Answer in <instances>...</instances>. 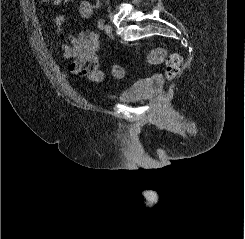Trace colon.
<instances>
[{"label": "colon", "instance_id": "1", "mask_svg": "<svg viewBox=\"0 0 245 239\" xmlns=\"http://www.w3.org/2000/svg\"><path fill=\"white\" fill-rule=\"evenodd\" d=\"M42 2H50V0H41ZM149 62L152 64L165 63L166 75L168 78H173L179 74L183 66L182 57L179 54H167L164 48H157L150 52ZM113 73L117 77L123 75V68L119 65L113 67Z\"/></svg>", "mask_w": 245, "mask_h": 239}]
</instances>
